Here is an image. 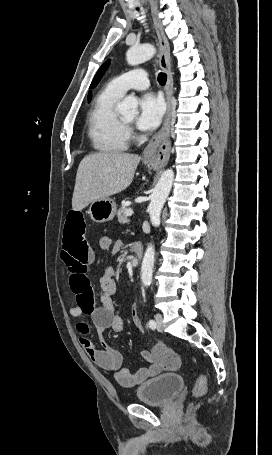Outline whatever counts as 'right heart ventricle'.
<instances>
[{
    "mask_svg": "<svg viewBox=\"0 0 272 455\" xmlns=\"http://www.w3.org/2000/svg\"><path fill=\"white\" fill-rule=\"evenodd\" d=\"M120 95L108 87L95 98L87 116V135L91 146L101 153H120L129 145L128 130L116 111Z\"/></svg>",
    "mask_w": 272,
    "mask_h": 455,
    "instance_id": "1",
    "label": "right heart ventricle"
}]
</instances>
